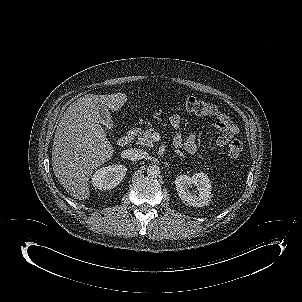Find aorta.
Masks as SVG:
<instances>
[{
    "label": "aorta",
    "instance_id": "762f6f07",
    "mask_svg": "<svg viewBox=\"0 0 302 302\" xmlns=\"http://www.w3.org/2000/svg\"><path fill=\"white\" fill-rule=\"evenodd\" d=\"M160 174V167L157 165H150L147 168V175L150 177H158Z\"/></svg>",
    "mask_w": 302,
    "mask_h": 302
}]
</instances>
